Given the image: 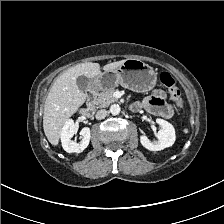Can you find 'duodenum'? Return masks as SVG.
Listing matches in <instances>:
<instances>
[{
    "label": "duodenum",
    "instance_id": "obj_1",
    "mask_svg": "<svg viewBox=\"0 0 224 224\" xmlns=\"http://www.w3.org/2000/svg\"><path fill=\"white\" fill-rule=\"evenodd\" d=\"M95 97V90L91 89L87 93V102L81 109V115L84 117H89L93 114L94 105L93 99Z\"/></svg>",
    "mask_w": 224,
    "mask_h": 224
}]
</instances>
